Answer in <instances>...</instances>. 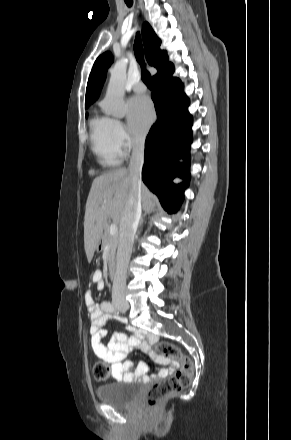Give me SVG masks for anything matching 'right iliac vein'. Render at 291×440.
Returning <instances> with one entry per match:
<instances>
[{
    "instance_id": "1",
    "label": "right iliac vein",
    "mask_w": 291,
    "mask_h": 440,
    "mask_svg": "<svg viewBox=\"0 0 291 440\" xmlns=\"http://www.w3.org/2000/svg\"><path fill=\"white\" fill-rule=\"evenodd\" d=\"M119 308L122 310H128L129 309V305L126 302H122L119 304Z\"/></svg>"
}]
</instances>
